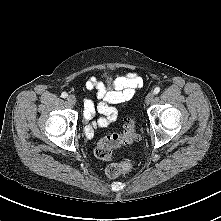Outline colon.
<instances>
[{
	"label": "colon",
	"instance_id": "colon-1",
	"mask_svg": "<svg viewBox=\"0 0 221 221\" xmlns=\"http://www.w3.org/2000/svg\"><path fill=\"white\" fill-rule=\"evenodd\" d=\"M136 122L133 118H127L124 122L123 129L118 134H111L103 137L97 144L95 155L102 160L112 158L113 149L122 145H129L137 140ZM132 163L130 160H124L119 163H112L107 166L105 173L110 179H115L122 174L130 171Z\"/></svg>",
	"mask_w": 221,
	"mask_h": 221
}]
</instances>
